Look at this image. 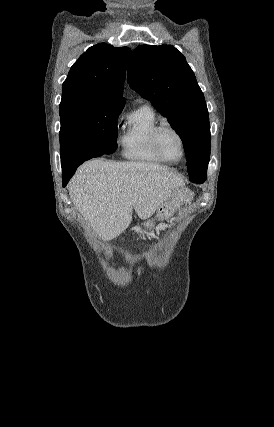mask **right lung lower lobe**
I'll return each mask as SVG.
<instances>
[{
	"instance_id": "98d812e1",
	"label": "right lung lower lobe",
	"mask_w": 274,
	"mask_h": 427,
	"mask_svg": "<svg viewBox=\"0 0 274 427\" xmlns=\"http://www.w3.org/2000/svg\"><path fill=\"white\" fill-rule=\"evenodd\" d=\"M83 163V162H82ZM82 163H76L68 166H62L63 175H62V184L63 187L66 186L72 175L75 173L77 167Z\"/></svg>"
}]
</instances>
